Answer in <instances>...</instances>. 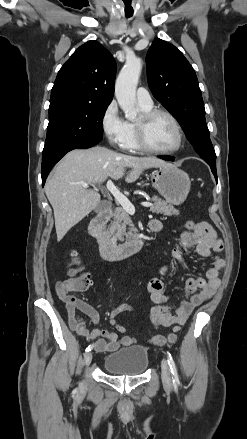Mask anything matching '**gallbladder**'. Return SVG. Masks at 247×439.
<instances>
[{
	"mask_svg": "<svg viewBox=\"0 0 247 439\" xmlns=\"http://www.w3.org/2000/svg\"><path fill=\"white\" fill-rule=\"evenodd\" d=\"M103 209H104L103 204H99V205H97L95 210H96V212H101V211H103Z\"/></svg>",
	"mask_w": 247,
	"mask_h": 439,
	"instance_id": "bac80fb5",
	"label": "gallbladder"
}]
</instances>
